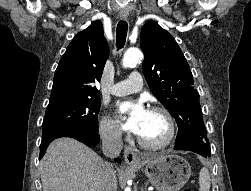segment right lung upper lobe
<instances>
[{"mask_svg": "<svg viewBox=\"0 0 251 191\" xmlns=\"http://www.w3.org/2000/svg\"><path fill=\"white\" fill-rule=\"evenodd\" d=\"M109 48L100 21L79 32L68 45L55 71L49 106L99 99L100 82Z\"/></svg>", "mask_w": 251, "mask_h": 191, "instance_id": "right-lung-upper-lobe-1", "label": "right lung upper lobe"}]
</instances>
